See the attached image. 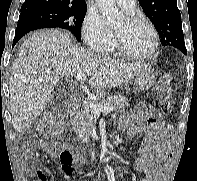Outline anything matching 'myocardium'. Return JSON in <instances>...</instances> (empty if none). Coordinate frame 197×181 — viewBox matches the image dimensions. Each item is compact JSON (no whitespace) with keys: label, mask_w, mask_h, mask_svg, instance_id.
Returning <instances> with one entry per match:
<instances>
[{"label":"myocardium","mask_w":197,"mask_h":181,"mask_svg":"<svg viewBox=\"0 0 197 181\" xmlns=\"http://www.w3.org/2000/svg\"><path fill=\"white\" fill-rule=\"evenodd\" d=\"M126 20L131 24L142 23L148 26L153 34V38H154L153 45L149 52L144 54H137L128 50L126 46L121 42L119 37L114 33V45L117 52L127 58L136 59V60H145L153 57L156 54L160 45L159 33L155 25L145 17L138 15H130L126 18Z\"/></svg>","instance_id":"myocardium-1"}]
</instances>
